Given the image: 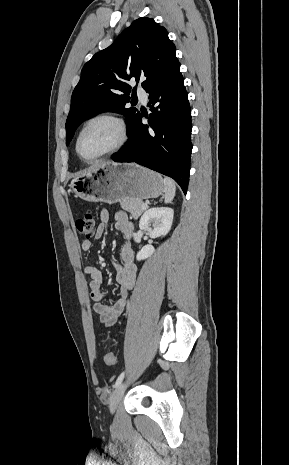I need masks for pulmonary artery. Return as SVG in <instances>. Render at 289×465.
I'll use <instances>...</instances> for the list:
<instances>
[{
  "label": "pulmonary artery",
  "mask_w": 289,
  "mask_h": 465,
  "mask_svg": "<svg viewBox=\"0 0 289 465\" xmlns=\"http://www.w3.org/2000/svg\"><path fill=\"white\" fill-rule=\"evenodd\" d=\"M137 94H138L139 98H140L144 103H146V101H147V94H146L145 90H144L143 88L139 87V88L137 89Z\"/></svg>",
  "instance_id": "1"
}]
</instances>
